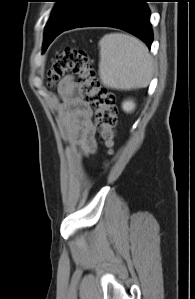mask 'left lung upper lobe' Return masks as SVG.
<instances>
[{
	"mask_svg": "<svg viewBox=\"0 0 195 299\" xmlns=\"http://www.w3.org/2000/svg\"><path fill=\"white\" fill-rule=\"evenodd\" d=\"M56 5L45 27L44 49L55 30L68 26L82 11L88 0H55Z\"/></svg>",
	"mask_w": 195,
	"mask_h": 299,
	"instance_id": "left-lung-upper-lobe-1",
	"label": "left lung upper lobe"
}]
</instances>
